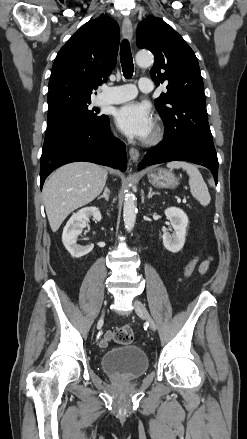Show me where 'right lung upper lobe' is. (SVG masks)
I'll list each match as a JSON object with an SVG mask.
<instances>
[{"label":"right lung upper lobe","mask_w":247,"mask_h":439,"mask_svg":"<svg viewBox=\"0 0 247 439\" xmlns=\"http://www.w3.org/2000/svg\"><path fill=\"white\" fill-rule=\"evenodd\" d=\"M119 27L110 18L84 24L60 49L49 81L48 110L70 101H87L115 68ZM91 101V100H90Z\"/></svg>","instance_id":"1"}]
</instances>
